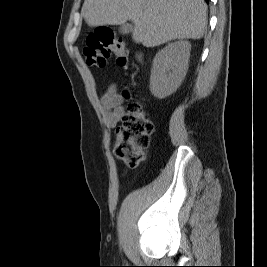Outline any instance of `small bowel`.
I'll use <instances>...</instances> for the list:
<instances>
[{
  "mask_svg": "<svg viewBox=\"0 0 267 267\" xmlns=\"http://www.w3.org/2000/svg\"><path fill=\"white\" fill-rule=\"evenodd\" d=\"M103 117L108 128H114L125 115L124 97L115 85H110L102 95Z\"/></svg>",
  "mask_w": 267,
  "mask_h": 267,
  "instance_id": "1",
  "label": "small bowel"
}]
</instances>
